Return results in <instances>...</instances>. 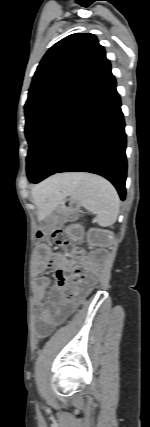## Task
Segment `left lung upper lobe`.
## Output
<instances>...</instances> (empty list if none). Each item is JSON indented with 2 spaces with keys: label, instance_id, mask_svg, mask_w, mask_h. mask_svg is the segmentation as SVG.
<instances>
[{
  "label": "left lung upper lobe",
  "instance_id": "obj_1",
  "mask_svg": "<svg viewBox=\"0 0 150 427\" xmlns=\"http://www.w3.org/2000/svg\"><path fill=\"white\" fill-rule=\"evenodd\" d=\"M110 62L93 34H72L52 46L41 60L25 104V133L30 144L39 129Z\"/></svg>",
  "mask_w": 150,
  "mask_h": 427
}]
</instances>
